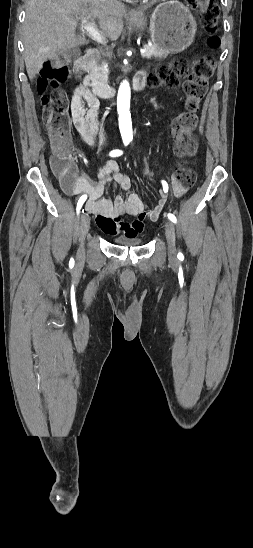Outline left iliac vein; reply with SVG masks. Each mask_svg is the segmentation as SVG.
Segmentation results:
<instances>
[{"instance_id": "4c4485c4", "label": "left iliac vein", "mask_w": 253, "mask_h": 548, "mask_svg": "<svg viewBox=\"0 0 253 548\" xmlns=\"http://www.w3.org/2000/svg\"><path fill=\"white\" fill-rule=\"evenodd\" d=\"M165 236L167 239L168 245V255L171 259L176 257V237H175V228L172 222H165Z\"/></svg>"}]
</instances>
